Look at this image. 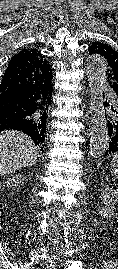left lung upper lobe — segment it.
I'll return each mask as SVG.
<instances>
[{
  "label": "left lung upper lobe",
  "instance_id": "1",
  "mask_svg": "<svg viewBox=\"0 0 118 269\" xmlns=\"http://www.w3.org/2000/svg\"><path fill=\"white\" fill-rule=\"evenodd\" d=\"M88 51L89 54H98L105 60L107 80L118 99V52L101 42L92 43Z\"/></svg>",
  "mask_w": 118,
  "mask_h": 269
}]
</instances>
